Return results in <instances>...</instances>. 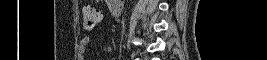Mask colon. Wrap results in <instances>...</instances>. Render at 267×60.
<instances>
[{
    "label": "colon",
    "instance_id": "1",
    "mask_svg": "<svg viewBox=\"0 0 267 60\" xmlns=\"http://www.w3.org/2000/svg\"><path fill=\"white\" fill-rule=\"evenodd\" d=\"M82 16L84 28L92 29L101 21L102 11L93 4H87L83 7Z\"/></svg>",
    "mask_w": 267,
    "mask_h": 60
}]
</instances>
